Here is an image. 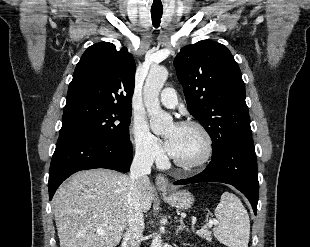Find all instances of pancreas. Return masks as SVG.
Returning <instances> with one entry per match:
<instances>
[{"instance_id": "1", "label": "pancreas", "mask_w": 310, "mask_h": 247, "mask_svg": "<svg viewBox=\"0 0 310 247\" xmlns=\"http://www.w3.org/2000/svg\"><path fill=\"white\" fill-rule=\"evenodd\" d=\"M199 236L206 239L207 241H211V232L208 230H203L202 232L199 233Z\"/></svg>"}]
</instances>
